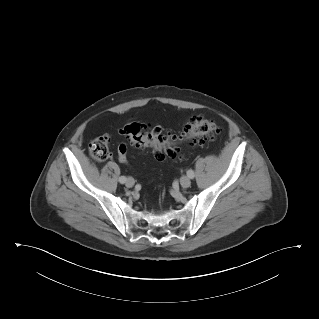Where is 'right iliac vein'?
Here are the masks:
<instances>
[{
	"label": "right iliac vein",
	"instance_id": "63e3f726",
	"mask_svg": "<svg viewBox=\"0 0 319 319\" xmlns=\"http://www.w3.org/2000/svg\"><path fill=\"white\" fill-rule=\"evenodd\" d=\"M134 184H135V181H134L133 178L129 177V178L126 180V186H127L128 188L133 187Z\"/></svg>",
	"mask_w": 319,
	"mask_h": 319
}]
</instances>
